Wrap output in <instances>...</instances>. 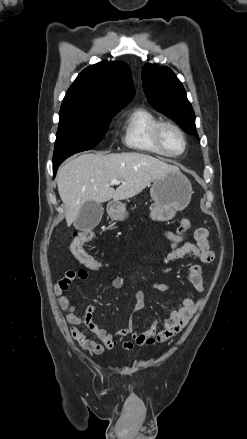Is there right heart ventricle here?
I'll return each mask as SVG.
<instances>
[{"instance_id": "right-heart-ventricle-1", "label": "right heart ventricle", "mask_w": 247, "mask_h": 439, "mask_svg": "<svg viewBox=\"0 0 247 439\" xmlns=\"http://www.w3.org/2000/svg\"><path fill=\"white\" fill-rule=\"evenodd\" d=\"M159 117L146 107H136L125 117L122 142L130 149L164 155L155 144L153 131Z\"/></svg>"}]
</instances>
